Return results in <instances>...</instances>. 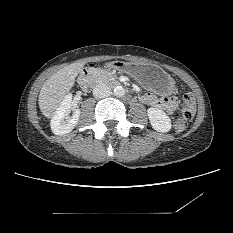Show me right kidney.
Listing matches in <instances>:
<instances>
[{
	"mask_svg": "<svg viewBox=\"0 0 233 233\" xmlns=\"http://www.w3.org/2000/svg\"><path fill=\"white\" fill-rule=\"evenodd\" d=\"M72 115L70 116V112ZM80 117V109L73 104L72 96L66 95L51 119V130L55 135H64L71 132Z\"/></svg>",
	"mask_w": 233,
	"mask_h": 233,
	"instance_id": "right-kidney-1",
	"label": "right kidney"
}]
</instances>
